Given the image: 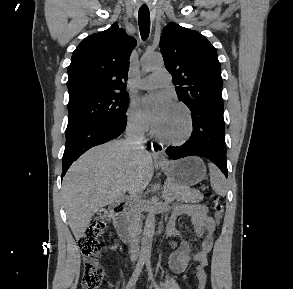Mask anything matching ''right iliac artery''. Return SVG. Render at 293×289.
<instances>
[{"mask_svg": "<svg viewBox=\"0 0 293 289\" xmlns=\"http://www.w3.org/2000/svg\"><path fill=\"white\" fill-rule=\"evenodd\" d=\"M144 263H145V259L139 258L138 263L136 265V268H135L130 280L128 281L126 289H131V287L136 283L138 277L140 276V273L142 272Z\"/></svg>", "mask_w": 293, "mask_h": 289, "instance_id": "obj_1", "label": "right iliac artery"}]
</instances>
